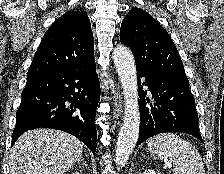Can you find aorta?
Wrapping results in <instances>:
<instances>
[{"label": "aorta", "instance_id": "obj_1", "mask_svg": "<svg viewBox=\"0 0 224 174\" xmlns=\"http://www.w3.org/2000/svg\"><path fill=\"white\" fill-rule=\"evenodd\" d=\"M112 58L125 99L123 124L120 128L115 153L116 163L119 166L118 169H120L128 161L137 143L140 112L136 66L131 51L126 46L118 45L114 48Z\"/></svg>", "mask_w": 224, "mask_h": 174}]
</instances>
